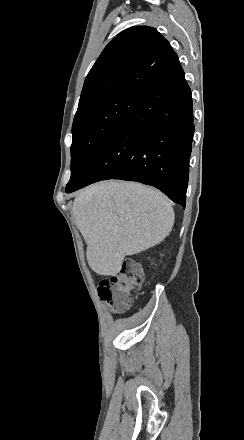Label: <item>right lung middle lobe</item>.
I'll return each mask as SVG.
<instances>
[{"label":"right lung middle lobe","instance_id":"right-lung-middle-lobe-1","mask_svg":"<svg viewBox=\"0 0 244 440\" xmlns=\"http://www.w3.org/2000/svg\"><path fill=\"white\" fill-rule=\"evenodd\" d=\"M141 97L119 94L102 101L80 104L76 112L71 145V178L77 181L102 144L132 111Z\"/></svg>","mask_w":244,"mask_h":440}]
</instances>
